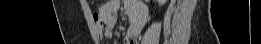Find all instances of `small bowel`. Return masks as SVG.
I'll use <instances>...</instances> for the list:
<instances>
[{
	"mask_svg": "<svg viewBox=\"0 0 261 44\" xmlns=\"http://www.w3.org/2000/svg\"><path fill=\"white\" fill-rule=\"evenodd\" d=\"M125 5L126 14L130 19V24L127 28L126 35L124 37V44H133L141 28L146 21V7L141 3L135 1H119L111 0L104 4L100 8L99 16L95 15V26L98 30V34L105 36H110L112 33V24H114L118 19V12L122 6Z\"/></svg>",
	"mask_w": 261,
	"mask_h": 44,
	"instance_id": "obj_1",
	"label": "small bowel"
}]
</instances>
